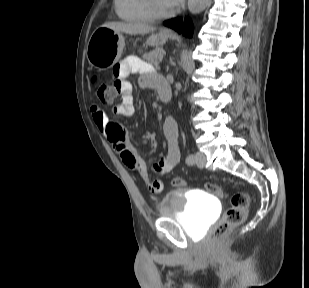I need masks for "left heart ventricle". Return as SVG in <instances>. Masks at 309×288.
<instances>
[{
    "label": "left heart ventricle",
    "instance_id": "obj_1",
    "mask_svg": "<svg viewBox=\"0 0 309 288\" xmlns=\"http://www.w3.org/2000/svg\"><path fill=\"white\" fill-rule=\"evenodd\" d=\"M158 1H159V5H160L163 9H165V10H169V9H170V7L168 6V4L166 3L165 0H158Z\"/></svg>",
    "mask_w": 309,
    "mask_h": 288
}]
</instances>
